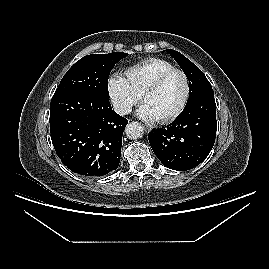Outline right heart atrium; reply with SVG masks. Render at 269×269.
<instances>
[{
  "label": "right heart atrium",
  "instance_id": "right-heart-atrium-1",
  "mask_svg": "<svg viewBox=\"0 0 269 269\" xmlns=\"http://www.w3.org/2000/svg\"><path fill=\"white\" fill-rule=\"evenodd\" d=\"M107 94L116 113L125 115L139 101L137 94L121 74L114 73L107 80Z\"/></svg>",
  "mask_w": 269,
  "mask_h": 269
}]
</instances>
